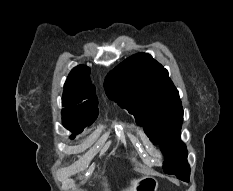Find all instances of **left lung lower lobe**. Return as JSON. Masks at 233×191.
Segmentation results:
<instances>
[{"label":"left lung lower lobe","instance_id":"obj_1","mask_svg":"<svg viewBox=\"0 0 233 191\" xmlns=\"http://www.w3.org/2000/svg\"><path fill=\"white\" fill-rule=\"evenodd\" d=\"M189 174L188 175H184V176H177L179 179L188 182L189 181Z\"/></svg>","mask_w":233,"mask_h":191}]
</instances>
